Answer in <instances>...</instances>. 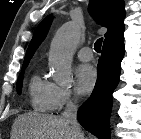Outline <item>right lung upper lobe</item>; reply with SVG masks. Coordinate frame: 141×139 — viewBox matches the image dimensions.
I'll use <instances>...</instances> for the list:
<instances>
[{
    "label": "right lung upper lobe",
    "instance_id": "right-lung-upper-lobe-1",
    "mask_svg": "<svg viewBox=\"0 0 141 139\" xmlns=\"http://www.w3.org/2000/svg\"><path fill=\"white\" fill-rule=\"evenodd\" d=\"M89 12L94 19L108 28L104 44L123 36L125 10L123 0H90ZM52 22V16H47L36 28L27 49L23 66H27L38 46L45 39Z\"/></svg>",
    "mask_w": 141,
    "mask_h": 139
}]
</instances>
